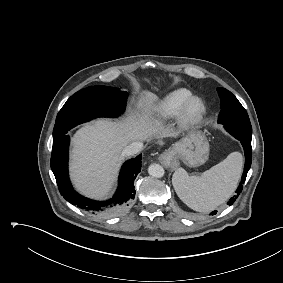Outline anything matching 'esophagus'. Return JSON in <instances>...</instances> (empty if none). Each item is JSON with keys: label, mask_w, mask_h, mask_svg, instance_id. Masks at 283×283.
<instances>
[{"label": "esophagus", "mask_w": 283, "mask_h": 283, "mask_svg": "<svg viewBox=\"0 0 283 283\" xmlns=\"http://www.w3.org/2000/svg\"><path fill=\"white\" fill-rule=\"evenodd\" d=\"M159 160L164 164V165H169L172 157L169 152H164L160 155Z\"/></svg>", "instance_id": "obj_1"}]
</instances>
